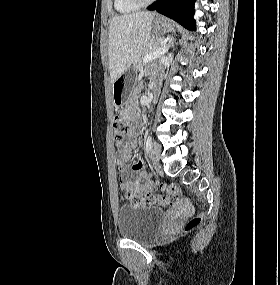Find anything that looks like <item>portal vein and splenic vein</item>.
I'll use <instances>...</instances> for the list:
<instances>
[{
  "instance_id": "portal-vein-and-splenic-vein-1",
  "label": "portal vein and splenic vein",
  "mask_w": 280,
  "mask_h": 285,
  "mask_svg": "<svg viewBox=\"0 0 280 285\" xmlns=\"http://www.w3.org/2000/svg\"><path fill=\"white\" fill-rule=\"evenodd\" d=\"M168 51V48L166 46H162L161 48L153 51L152 53H149L147 55L144 56L143 58V62H149L153 59H156L158 57H160L162 54L166 53Z\"/></svg>"
}]
</instances>
